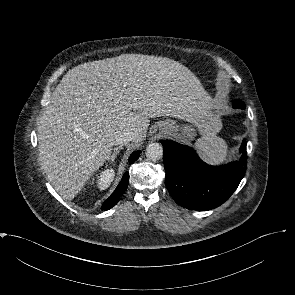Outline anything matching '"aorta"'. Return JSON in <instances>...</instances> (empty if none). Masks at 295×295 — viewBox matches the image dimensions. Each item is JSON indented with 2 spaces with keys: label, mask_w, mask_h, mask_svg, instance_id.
I'll list each match as a JSON object with an SVG mask.
<instances>
[{
  "label": "aorta",
  "mask_w": 295,
  "mask_h": 295,
  "mask_svg": "<svg viewBox=\"0 0 295 295\" xmlns=\"http://www.w3.org/2000/svg\"><path fill=\"white\" fill-rule=\"evenodd\" d=\"M163 155V147L161 144L154 142L150 143L146 148V157L149 160H159Z\"/></svg>",
  "instance_id": "obj_1"
}]
</instances>
